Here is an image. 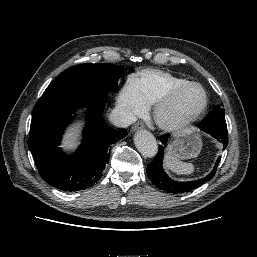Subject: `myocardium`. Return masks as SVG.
Masks as SVG:
<instances>
[{"label":"myocardium","mask_w":257,"mask_h":257,"mask_svg":"<svg viewBox=\"0 0 257 257\" xmlns=\"http://www.w3.org/2000/svg\"><path fill=\"white\" fill-rule=\"evenodd\" d=\"M198 87L203 93V102L196 112L186 118L171 119L166 115V109L173 103L176 97L188 88ZM208 107V95L204 87L196 82H188L170 90L155 106V119L158 125L166 131H179L197 121L204 115Z\"/></svg>","instance_id":"obj_1"}]
</instances>
